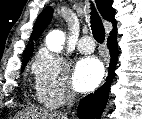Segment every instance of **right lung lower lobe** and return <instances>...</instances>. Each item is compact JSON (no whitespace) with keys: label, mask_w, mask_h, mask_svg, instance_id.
<instances>
[{"label":"right lung lower lobe","mask_w":142,"mask_h":119,"mask_svg":"<svg viewBox=\"0 0 142 119\" xmlns=\"http://www.w3.org/2000/svg\"><path fill=\"white\" fill-rule=\"evenodd\" d=\"M107 46L111 55L110 69L108 78L94 94L84 97L78 106L79 119H99L106 106L111 81L113 78V71L118 57V46L116 41V32H111L107 41Z\"/></svg>","instance_id":"98d812e1"}]
</instances>
